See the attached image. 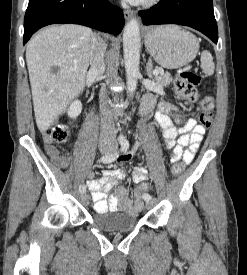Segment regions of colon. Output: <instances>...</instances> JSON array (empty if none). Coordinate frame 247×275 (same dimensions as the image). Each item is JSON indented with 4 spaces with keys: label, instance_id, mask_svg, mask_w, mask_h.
Segmentation results:
<instances>
[{
    "label": "colon",
    "instance_id": "1",
    "mask_svg": "<svg viewBox=\"0 0 247 275\" xmlns=\"http://www.w3.org/2000/svg\"><path fill=\"white\" fill-rule=\"evenodd\" d=\"M201 82L199 74L192 70L183 69L180 71L175 82L176 93L189 105L195 103L198 99L197 86ZM214 112V99L212 96H206L201 101V112L199 115L200 124L203 128H209L212 124ZM69 137V131L65 126L57 125L46 131L44 141L47 144H63ZM185 163L178 162L171 168L172 176H178L184 169ZM151 190V185L147 182L140 184L136 193L144 195Z\"/></svg>",
    "mask_w": 247,
    "mask_h": 275
}]
</instances>
